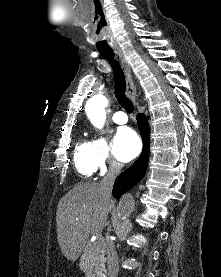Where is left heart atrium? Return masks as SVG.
Here are the masks:
<instances>
[{
	"mask_svg": "<svg viewBox=\"0 0 221 277\" xmlns=\"http://www.w3.org/2000/svg\"><path fill=\"white\" fill-rule=\"evenodd\" d=\"M141 149V142L136 132L128 127L120 128L114 137V153L124 162L135 158Z\"/></svg>",
	"mask_w": 221,
	"mask_h": 277,
	"instance_id": "left-heart-atrium-1",
	"label": "left heart atrium"
}]
</instances>
